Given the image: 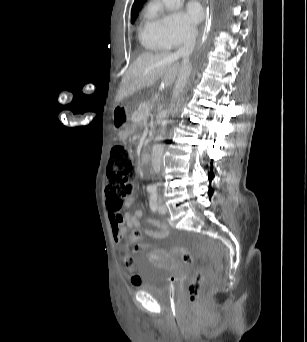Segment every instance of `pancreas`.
<instances>
[{"instance_id":"cf45deb5","label":"pancreas","mask_w":307,"mask_h":342,"mask_svg":"<svg viewBox=\"0 0 307 342\" xmlns=\"http://www.w3.org/2000/svg\"><path fill=\"white\" fill-rule=\"evenodd\" d=\"M150 108H152V104H150V102H142V104H140L139 108L136 110L137 112L134 115L135 118L141 119L142 116H145L146 110H150Z\"/></svg>"}]
</instances>
